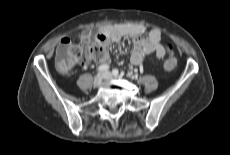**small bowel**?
Instances as JSON below:
<instances>
[{
	"mask_svg": "<svg viewBox=\"0 0 230 155\" xmlns=\"http://www.w3.org/2000/svg\"><path fill=\"white\" fill-rule=\"evenodd\" d=\"M145 27L140 24H117L98 27L95 30L87 29L80 33L79 40L82 43H98L105 49L104 56L96 60V63L105 64L110 60L107 48L111 43H119L123 38H131L134 42L131 63L140 65L145 58L154 54L156 58L162 59L166 56L168 49L161 44V31L152 29L148 36L141 38Z\"/></svg>",
	"mask_w": 230,
	"mask_h": 155,
	"instance_id": "c3829d8e",
	"label": "small bowel"
}]
</instances>
